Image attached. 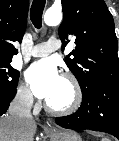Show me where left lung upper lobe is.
I'll return each mask as SVG.
<instances>
[{
    "label": "left lung upper lobe",
    "mask_w": 119,
    "mask_h": 141,
    "mask_svg": "<svg viewBox=\"0 0 119 141\" xmlns=\"http://www.w3.org/2000/svg\"><path fill=\"white\" fill-rule=\"evenodd\" d=\"M63 22L59 36L66 46L69 38L76 47L66 65L86 93L106 79L119 80V59L114 20L103 0H62ZM69 55V56H70Z\"/></svg>",
    "instance_id": "1"
}]
</instances>
